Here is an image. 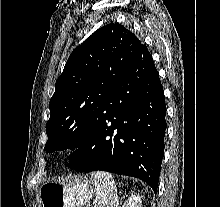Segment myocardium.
Here are the masks:
<instances>
[{
	"instance_id": "f54148a6",
	"label": "myocardium",
	"mask_w": 220,
	"mask_h": 207,
	"mask_svg": "<svg viewBox=\"0 0 220 207\" xmlns=\"http://www.w3.org/2000/svg\"><path fill=\"white\" fill-rule=\"evenodd\" d=\"M73 151L72 150H67L65 152V156L70 157L72 155Z\"/></svg>"
}]
</instances>
